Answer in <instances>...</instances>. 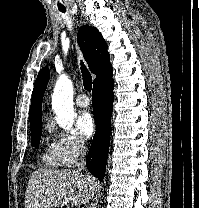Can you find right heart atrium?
Returning <instances> with one entry per match:
<instances>
[{
	"label": "right heart atrium",
	"instance_id": "1",
	"mask_svg": "<svg viewBox=\"0 0 199 208\" xmlns=\"http://www.w3.org/2000/svg\"><path fill=\"white\" fill-rule=\"evenodd\" d=\"M55 149L64 166H73L86 152V146L82 140L65 133L58 135Z\"/></svg>",
	"mask_w": 199,
	"mask_h": 208
}]
</instances>
